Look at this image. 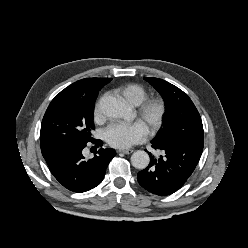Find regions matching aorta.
I'll return each instance as SVG.
<instances>
[{
  "label": "aorta",
  "mask_w": 248,
  "mask_h": 248,
  "mask_svg": "<svg viewBox=\"0 0 248 248\" xmlns=\"http://www.w3.org/2000/svg\"><path fill=\"white\" fill-rule=\"evenodd\" d=\"M100 111L107 117L128 119L131 109L122 100L116 97H103L99 102ZM150 162L147 152L143 150L135 151L131 156V163L137 169H145Z\"/></svg>",
  "instance_id": "obj_1"
}]
</instances>
